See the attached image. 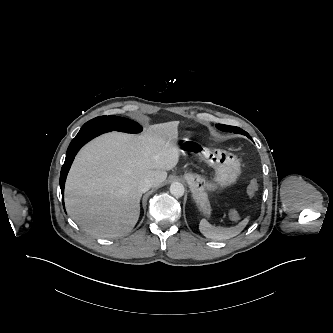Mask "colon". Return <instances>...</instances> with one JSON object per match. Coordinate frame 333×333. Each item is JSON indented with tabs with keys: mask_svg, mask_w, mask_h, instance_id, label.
<instances>
[{
	"mask_svg": "<svg viewBox=\"0 0 333 333\" xmlns=\"http://www.w3.org/2000/svg\"><path fill=\"white\" fill-rule=\"evenodd\" d=\"M258 191V183L256 180H251L247 186V194L253 196ZM229 219L231 221H238L240 219V214L237 210L232 209L229 212Z\"/></svg>",
	"mask_w": 333,
	"mask_h": 333,
	"instance_id": "obj_1",
	"label": "colon"
}]
</instances>
